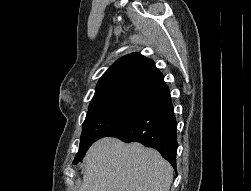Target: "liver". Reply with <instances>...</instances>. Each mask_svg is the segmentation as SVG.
I'll list each match as a JSON object with an SVG mask.
<instances>
[{
  "label": "liver",
  "instance_id": "1",
  "mask_svg": "<svg viewBox=\"0 0 251 191\" xmlns=\"http://www.w3.org/2000/svg\"><path fill=\"white\" fill-rule=\"evenodd\" d=\"M80 191H169L173 167L138 141L102 137L88 149Z\"/></svg>",
  "mask_w": 251,
  "mask_h": 191
}]
</instances>
